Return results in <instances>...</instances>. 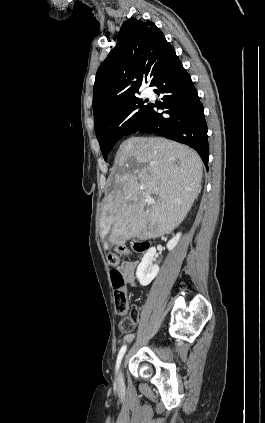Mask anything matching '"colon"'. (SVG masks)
Here are the masks:
<instances>
[{"label":"colon","instance_id":"obj_1","mask_svg":"<svg viewBox=\"0 0 265 423\" xmlns=\"http://www.w3.org/2000/svg\"><path fill=\"white\" fill-rule=\"evenodd\" d=\"M150 247L147 241L133 240L130 245H118L113 251L107 255L108 264L116 266L120 263L122 257L128 256L131 251L135 253H144ZM111 282L114 287V303L117 313L121 316L118 328L121 331H130L137 319L138 312L131 307L128 301L127 293L124 290L125 280L116 268L111 270Z\"/></svg>","mask_w":265,"mask_h":423}]
</instances>
